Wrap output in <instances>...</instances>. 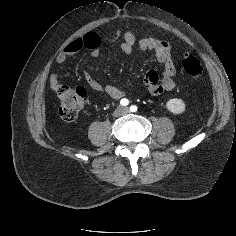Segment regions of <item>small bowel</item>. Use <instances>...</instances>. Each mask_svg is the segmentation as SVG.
I'll return each mask as SVG.
<instances>
[{"label":"small bowel","instance_id":"1","mask_svg":"<svg viewBox=\"0 0 236 236\" xmlns=\"http://www.w3.org/2000/svg\"><path fill=\"white\" fill-rule=\"evenodd\" d=\"M116 34L110 37L115 40ZM102 38L96 32H87L73 39L66 48L60 52L56 58L58 63H63L67 59L76 56L83 50H88L93 57H97L100 53V45ZM137 44V48L141 52H153L157 62L162 68L161 75L155 69H150L144 76L143 85L153 96H160L166 91H170L175 87V77L177 74L176 65L172 58V44L165 38L143 37L138 43L136 35L132 31L124 34L123 41L120 44L121 50L125 54L133 53ZM84 79L87 86L97 92H104L112 99L118 100L124 97V92L115 85H103L90 73H84ZM49 84L53 91H57L62 83L58 75L54 72L50 74Z\"/></svg>","mask_w":236,"mask_h":236}]
</instances>
